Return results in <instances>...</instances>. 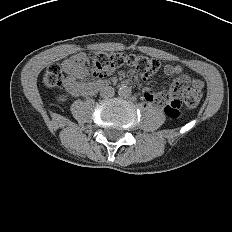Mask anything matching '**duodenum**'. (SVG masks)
Returning <instances> with one entry per match:
<instances>
[{
    "instance_id": "1",
    "label": "duodenum",
    "mask_w": 232,
    "mask_h": 232,
    "mask_svg": "<svg viewBox=\"0 0 232 232\" xmlns=\"http://www.w3.org/2000/svg\"><path fill=\"white\" fill-rule=\"evenodd\" d=\"M105 86H107V82H105L103 80H99V81H97L95 83L89 84L88 87H87L88 88V93H89V95H92L98 89L103 88Z\"/></svg>"
}]
</instances>
